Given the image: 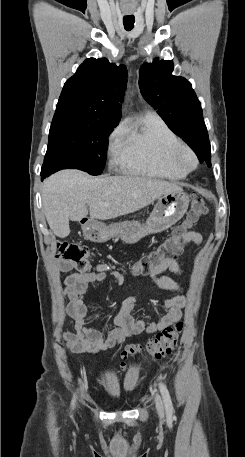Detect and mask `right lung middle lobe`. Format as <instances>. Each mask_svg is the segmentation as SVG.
Wrapping results in <instances>:
<instances>
[{"label":"right lung middle lobe","mask_w":245,"mask_h":457,"mask_svg":"<svg viewBox=\"0 0 245 457\" xmlns=\"http://www.w3.org/2000/svg\"><path fill=\"white\" fill-rule=\"evenodd\" d=\"M119 121L77 114H55L41 177L64 168L99 175L105 166L108 135Z\"/></svg>","instance_id":"1"}]
</instances>
